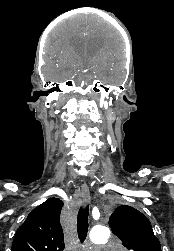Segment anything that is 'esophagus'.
Masks as SVG:
<instances>
[{"instance_id":"1","label":"esophagus","mask_w":174,"mask_h":251,"mask_svg":"<svg viewBox=\"0 0 174 251\" xmlns=\"http://www.w3.org/2000/svg\"><path fill=\"white\" fill-rule=\"evenodd\" d=\"M81 199L84 204H88L90 202V191L89 187L86 183L81 186Z\"/></svg>"}]
</instances>
